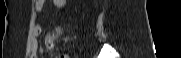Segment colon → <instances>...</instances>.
<instances>
[{"mask_svg": "<svg viewBox=\"0 0 181 58\" xmlns=\"http://www.w3.org/2000/svg\"><path fill=\"white\" fill-rule=\"evenodd\" d=\"M48 45H51V40L48 41ZM61 58H65V56H62Z\"/></svg>", "mask_w": 181, "mask_h": 58, "instance_id": "5ec220e1", "label": "colon"}]
</instances>
